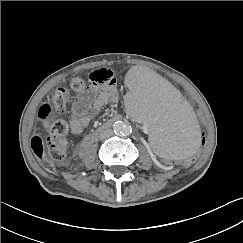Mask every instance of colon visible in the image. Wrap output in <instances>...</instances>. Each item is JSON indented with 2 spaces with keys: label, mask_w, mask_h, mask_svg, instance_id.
Instances as JSON below:
<instances>
[{
  "label": "colon",
  "mask_w": 243,
  "mask_h": 243,
  "mask_svg": "<svg viewBox=\"0 0 243 243\" xmlns=\"http://www.w3.org/2000/svg\"><path fill=\"white\" fill-rule=\"evenodd\" d=\"M98 71V72H97ZM115 75L113 71L102 68L94 71L90 74L89 79L86 80L82 77H75L71 80L69 88H59L55 90L48 102L41 106L39 116L41 118L47 119L53 110L61 111L63 110L69 102L72 93H82L84 92L88 85L91 83H96L99 85H110L114 82ZM46 128L50 133L46 145L44 144L42 133L40 130H35L33 137L31 139V148L36 155L42 168L48 172H54L55 162L61 161L65 158L69 143L66 139V134L68 132V125L66 122L58 121H46ZM209 130L204 128L202 130V138L200 146L197 151L190 153L189 157L181 159H172L168 157H162L159 160L160 165L166 167L175 168H190L196 160L202 155L204 150L208 145Z\"/></svg>",
  "instance_id": "1"
}]
</instances>
